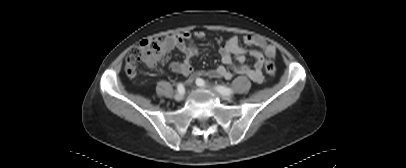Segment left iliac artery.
Returning <instances> with one entry per match:
<instances>
[{
	"label": "left iliac artery",
	"instance_id": "left-iliac-artery-1",
	"mask_svg": "<svg viewBox=\"0 0 406 168\" xmlns=\"http://www.w3.org/2000/svg\"><path fill=\"white\" fill-rule=\"evenodd\" d=\"M196 84L200 87H204L206 85L205 81L201 78L196 79ZM214 89L219 92L220 94L224 95H230L232 94V90L228 87L222 86V85H215Z\"/></svg>",
	"mask_w": 406,
	"mask_h": 168
}]
</instances>
